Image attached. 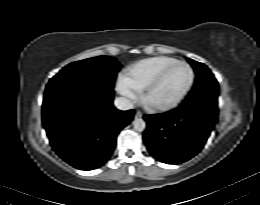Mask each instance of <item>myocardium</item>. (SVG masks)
Segmentation results:
<instances>
[{"mask_svg":"<svg viewBox=\"0 0 260 205\" xmlns=\"http://www.w3.org/2000/svg\"><path fill=\"white\" fill-rule=\"evenodd\" d=\"M177 65H184L186 66L189 71H190V81L187 85V87L184 89V91L173 101L168 102V103H164V104H154L152 102L149 101L148 99V95L150 93V91L157 85L160 83V81L163 79V77L165 76V74L174 66ZM195 71L192 68V66L187 63L186 61H176L174 63H171L169 65H167L166 67H164L163 69H161L149 82L148 84L145 86V88L143 89V93H142V100L145 104L149 105L150 107L154 108L155 110L158 111H169L172 110L174 108H176L177 106H179L184 100L185 98L188 96V94L190 93L191 89L193 88V85L195 83Z\"/></svg>","mask_w":260,"mask_h":205,"instance_id":"1","label":"myocardium"}]
</instances>
